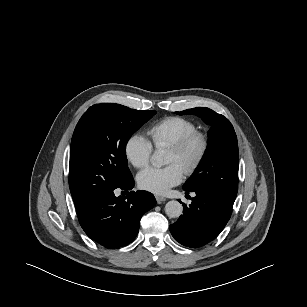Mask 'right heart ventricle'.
Returning a JSON list of instances; mask_svg holds the SVG:
<instances>
[{
    "mask_svg": "<svg viewBox=\"0 0 307 307\" xmlns=\"http://www.w3.org/2000/svg\"><path fill=\"white\" fill-rule=\"evenodd\" d=\"M196 130V124L184 117L171 116L162 119L148 130L157 149L169 148L184 136Z\"/></svg>",
    "mask_w": 307,
    "mask_h": 307,
    "instance_id": "1",
    "label": "right heart ventricle"
}]
</instances>
